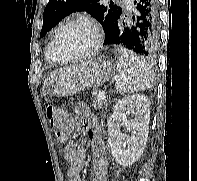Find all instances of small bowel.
I'll use <instances>...</instances> for the list:
<instances>
[{"mask_svg":"<svg viewBox=\"0 0 197 181\" xmlns=\"http://www.w3.org/2000/svg\"><path fill=\"white\" fill-rule=\"evenodd\" d=\"M73 121L71 120V123ZM75 124L86 133V140L91 143L92 151V181H106L107 178V153L101 138L97 118L84 104H79L74 110ZM85 139L76 144L64 147V159L70 164L68 170L69 181H82L81 172L85 165Z\"/></svg>","mask_w":197,"mask_h":181,"instance_id":"c3829d8e","label":"small bowel"}]
</instances>
